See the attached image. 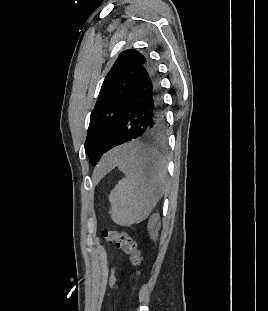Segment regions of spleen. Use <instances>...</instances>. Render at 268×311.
I'll use <instances>...</instances> for the list:
<instances>
[{
	"mask_svg": "<svg viewBox=\"0 0 268 311\" xmlns=\"http://www.w3.org/2000/svg\"><path fill=\"white\" fill-rule=\"evenodd\" d=\"M113 164L125 177L109 194L111 218L121 226L145 220L165 192L167 164L155 151L141 141L117 144L113 149Z\"/></svg>",
	"mask_w": 268,
	"mask_h": 311,
	"instance_id": "obj_1",
	"label": "spleen"
}]
</instances>
